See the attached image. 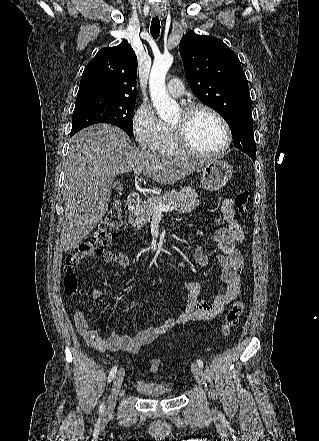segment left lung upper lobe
<instances>
[{
	"label": "left lung upper lobe",
	"instance_id": "1",
	"mask_svg": "<svg viewBox=\"0 0 319 441\" xmlns=\"http://www.w3.org/2000/svg\"><path fill=\"white\" fill-rule=\"evenodd\" d=\"M179 50L194 94L226 120L235 146L255 161L251 98L236 54L220 39L194 31L183 36Z\"/></svg>",
	"mask_w": 319,
	"mask_h": 441
}]
</instances>
